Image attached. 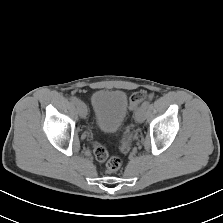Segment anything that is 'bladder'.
<instances>
[{
    "label": "bladder",
    "mask_w": 223,
    "mask_h": 223,
    "mask_svg": "<svg viewBox=\"0 0 223 223\" xmlns=\"http://www.w3.org/2000/svg\"><path fill=\"white\" fill-rule=\"evenodd\" d=\"M97 126L104 132L114 133L124 124L128 113V98L121 89H98L91 97Z\"/></svg>",
    "instance_id": "31cf9c89"
}]
</instances>
